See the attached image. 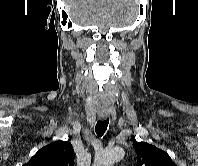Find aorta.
Instances as JSON below:
<instances>
[{
    "instance_id": "aorta-1",
    "label": "aorta",
    "mask_w": 198,
    "mask_h": 166,
    "mask_svg": "<svg viewBox=\"0 0 198 166\" xmlns=\"http://www.w3.org/2000/svg\"><path fill=\"white\" fill-rule=\"evenodd\" d=\"M124 156V150L120 147L103 150L96 156L93 166H112L115 162L121 160Z\"/></svg>"
}]
</instances>
